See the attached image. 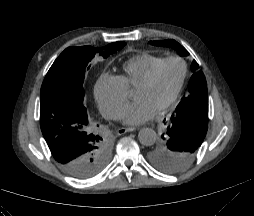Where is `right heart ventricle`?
Here are the masks:
<instances>
[{
	"instance_id": "e07e8e85",
	"label": "right heart ventricle",
	"mask_w": 254,
	"mask_h": 216,
	"mask_svg": "<svg viewBox=\"0 0 254 216\" xmlns=\"http://www.w3.org/2000/svg\"><path fill=\"white\" fill-rule=\"evenodd\" d=\"M163 59L164 57L160 55L139 53L123 64V73L118 77L127 89H135Z\"/></svg>"
}]
</instances>
